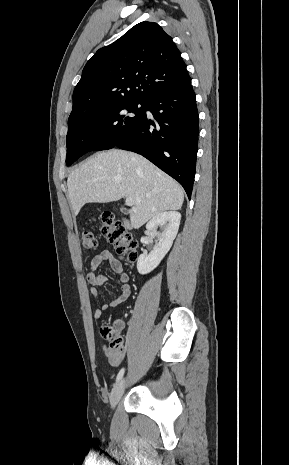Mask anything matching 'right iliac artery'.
<instances>
[{"label":"right iliac artery","instance_id":"82829eb1","mask_svg":"<svg viewBox=\"0 0 289 465\" xmlns=\"http://www.w3.org/2000/svg\"><path fill=\"white\" fill-rule=\"evenodd\" d=\"M124 371H125L124 368H122V369L119 371V373H118V375H117V377H116V383L119 382V381L122 379L123 374H124Z\"/></svg>","mask_w":289,"mask_h":465}]
</instances>
